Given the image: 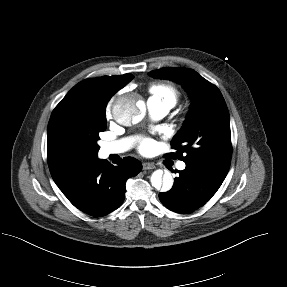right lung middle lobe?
I'll return each mask as SVG.
<instances>
[{
  "mask_svg": "<svg viewBox=\"0 0 287 287\" xmlns=\"http://www.w3.org/2000/svg\"><path fill=\"white\" fill-rule=\"evenodd\" d=\"M107 101L92 98L76 105L63 123L62 144L79 158H94L100 149L99 133L105 131Z\"/></svg>",
  "mask_w": 287,
  "mask_h": 287,
  "instance_id": "obj_1",
  "label": "right lung middle lobe"
}]
</instances>
